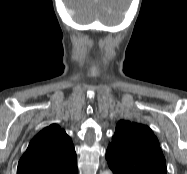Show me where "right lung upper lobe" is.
<instances>
[{
  "instance_id": "right-lung-upper-lobe-1",
  "label": "right lung upper lobe",
  "mask_w": 187,
  "mask_h": 174,
  "mask_svg": "<svg viewBox=\"0 0 187 174\" xmlns=\"http://www.w3.org/2000/svg\"><path fill=\"white\" fill-rule=\"evenodd\" d=\"M17 174H78L70 137L56 124L43 129L19 160Z\"/></svg>"
}]
</instances>
